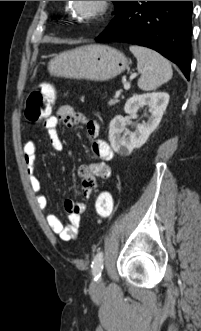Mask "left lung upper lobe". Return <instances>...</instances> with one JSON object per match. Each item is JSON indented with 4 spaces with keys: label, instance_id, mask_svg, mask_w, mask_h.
<instances>
[{
    "label": "left lung upper lobe",
    "instance_id": "obj_1",
    "mask_svg": "<svg viewBox=\"0 0 201 331\" xmlns=\"http://www.w3.org/2000/svg\"><path fill=\"white\" fill-rule=\"evenodd\" d=\"M113 2L115 4V6H116V10H118L122 1H113Z\"/></svg>",
    "mask_w": 201,
    "mask_h": 331
}]
</instances>
